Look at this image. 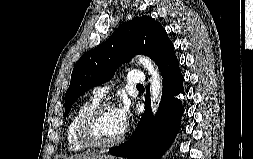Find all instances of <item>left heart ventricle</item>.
<instances>
[{
    "label": "left heart ventricle",
    "instance_id": "left-heart-ventricle-1",
    "mask_svg": "<svg viewBox=\"0 0 253 159\" xmlns=\"http://www.w3.org/2000/svg\"><path fill=\"white\" fill-rule=\"evenodd\" d=\"M124 128L122 127L116 109L108 108L97 118L94 126L96 137L100 141H110L117 138Z\"/></svg>",
    "mask_w": 253,
    "mask_h": 159
}]
</instances>
